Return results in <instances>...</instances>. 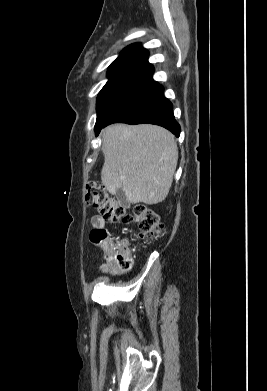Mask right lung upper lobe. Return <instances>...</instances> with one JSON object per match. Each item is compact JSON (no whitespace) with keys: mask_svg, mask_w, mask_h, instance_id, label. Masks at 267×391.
Returning a JSON list of instances; mask_svg holds the SVG:
<instances>
[{"mask_svg":"<svg viewBox=\"0 0 267 391\" xmlns=\"http://www.w3.org/2000/svg\"><path fill=\"white\" fill-rule=\"evenodd\" d=\"M148 55V51L138 43L126 47L109 66L108 76L152 77L154 68L147 60Z\"/></svg>","mask_w":267,"mask_h":391,"instance_id":"1","label":"right lung upper lobe"}]
</instances>
